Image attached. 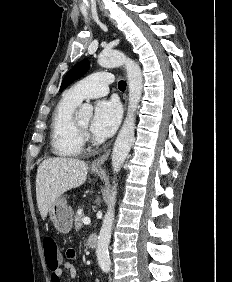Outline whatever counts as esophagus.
<instances>
[{
  "label": "esophagus",
  "instance_id": "obj_1",
  "mask_svg": "<svg viewBox=\"0 0 232 282\" xmlns=\"http://www.w3.org/2000/svg\"><path fill=\"white\" fill-rule=\"evenodd\" d=\"M109 154H110V149H108L104 154H102L100 157L95 159L91 163V168L93 169L101 168L104 162L108 159Z\"/></svg>",
  "mask_w": 232,
  "mask_h": 282
}]
</instances>
